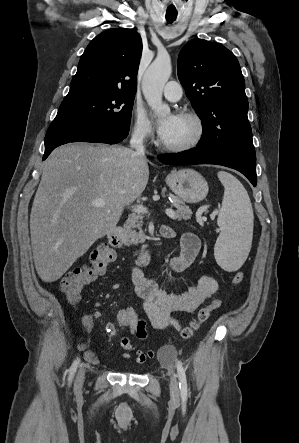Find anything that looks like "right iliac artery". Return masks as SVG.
Segmentation results:
<instances>
[{"instance_id": "82829eb1", "label": "right iliac artery", "mask_w": 299, "mask_h": 443, "mask_svg": "<svg viewBox=\"0 0 299 443\" xmlns=\"http://www.w3.org/2000/svg\"><path fill=\"white\" fill-rule=\"evenodd\" d=\"M79 362H80V359H79V358H77V359L73 362V364H72V366H71V368H70V371H69V378H68L69 382L72 381V379H73V377H74V375H75V372H76V370H77V368H78V364H79Z\"/></svg>"}]
</instances>
